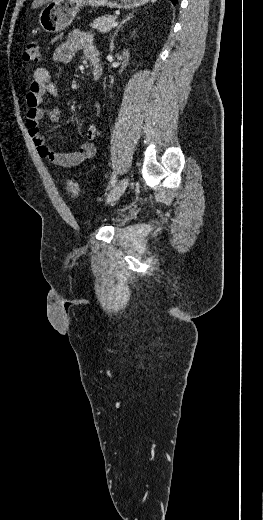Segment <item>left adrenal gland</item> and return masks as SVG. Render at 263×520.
Listing matches in <instances>:
<instances>
[{"label": "left adrenal gland", "instance_id": "a2214340", "mask_svg": "<svg viewBox=\"0 0 263 520\" xmlns=\"http://www.w3.org/2000/svg\"><path fill=\"white\" fill-rule=\"evenodd\" d=\"M134 17V12L129 13L128 16L120 23V25L116 28L115 32L111 36V42H110V49L111 51L114 49V38L117 35L118 31L121 29V27L130 19Z\"/></svg>", "mask_w": 263, "mask_h": 520}]
</instances>
